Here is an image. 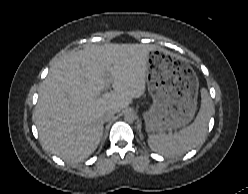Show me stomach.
<instances>
[{
    "instance_id": "obj_1",
    "label": "stomach",
    "mask_w": 248,
    "mask_h": 194,
    "mask_svg": "<svg viewBox=\"0 0 248 194\" xmlns=\"http://www.w3.org/2000/svg\"><path fill=\"white\" fill-rule=\"evenodd\" d=\"M147 81L153 105L143 114L148 132L186 126L197 110L199 81L192 67L178 56L156 49L147 54Z\"/></svg>"
}]
</instances>
